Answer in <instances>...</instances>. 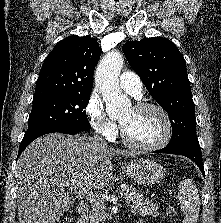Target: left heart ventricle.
Returning <instances> with one entry per match:
<instances>
[{"instance_id":"1","label":"left heart ventricle","mask_w":221,"mask_h":223,"mask_svg":"<svg viewBox=\"0 0 221 223\" xmlns=\"http://www.w3.org/2000/svg\"><path fill=\"white\" fill-rule=\"evenodd\" d=\"M126 135L135 143L150 145L158 142L165 132L161 115L154 110L128 109L119 119Z\"/></svg>"}]
</instances>
